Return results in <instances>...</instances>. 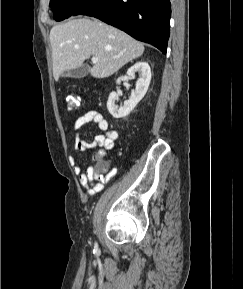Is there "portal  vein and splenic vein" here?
Returning <instances> with one entry per match:
<instances>
[{"instance_id":"obj_1","label":"portal vein and splenic vein","mask_w":243,"mask_h":289,"mask_svg":"<svg viewBox=\"0 0 243 289\" xmlns=\"http://www.w3.org/2000/svg\"><path fill=\"white\" fill-rule=\"evenodd\" d=\"M91 60H92L93 63H96V62H98L99 59H98V57L93 56Z\"/></svg>"}]
</instances>
